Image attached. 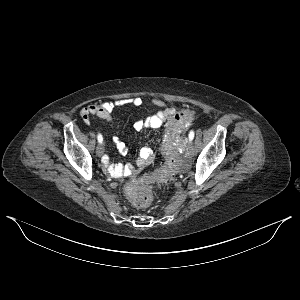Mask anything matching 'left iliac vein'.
Segmentation results:
<instances>
[{
    "label": "left iliac vein",
    "mask_w": 300,
    "mask_h": 300,
    "mask_svg": "<svg viewBox=\"0 0 300 300\" xmlns=\"http://www.w3.org/2000/svg\"><path fill=\"white\" fill-rule=\"evenodd\" d=\"M185 145H186V149L189 153V155L193 154V145H192V141L191 140H186L185 141Z\"/></svg>",
    "instance_id": "4c4485c4"
}]
</instances>
